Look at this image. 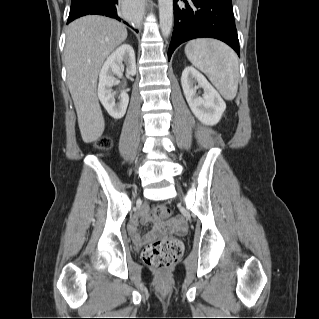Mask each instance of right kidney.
I'll return each instance as SVG.
<instances>
[{"instance_id":"obj_1","label":"right kidney","mask_w":319,"mask_h":319,"mask_svg":"<svg viewBox=\"0 0 319 319\" xmlns=\"http://www.w3.org/2000/svg\"><path fill=\"white\" fill-rule=\"evenodd\" d=\"M124 65L126 66L127 76L136 74L135 53L132 46L128 44L119 46L107 57L99 73L98 98L114 119H120L125 115L129 103V96L125 91L120 93L118 102H116L115 95L112 92V86L117 82L114 76L121 74Z\"/></svg>"}]
</instances>
